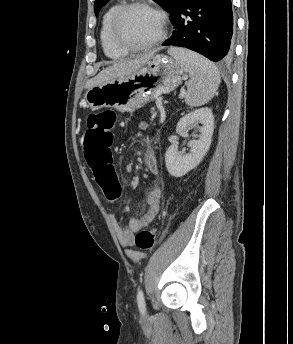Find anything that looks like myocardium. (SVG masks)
Here are the masks:
<instances>
[{
    "label": "myocardium",
    "instance_id": "1",
    "mask_svg": "<svg viewBox=\"0 0 293 344\" xmlns=\"http://www.w3.org/2000/svg\"><path fill=\"white\" fill-rule=\"evenodd\" d=\"M135 8H143L154 13L160 21V32L157 37L144 44H132L125 40L121 34V22L125 14ZM168 34V19L166 14L158 7L150 4L145 0H131L121 5L115 12L111 22V37L114 44L127 52H141L151 49L162 43Z\"/></svg>",
    "mask_w": 293,
    "mask_h": 344
}]
</instances>
